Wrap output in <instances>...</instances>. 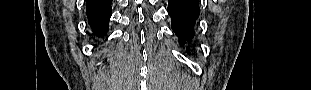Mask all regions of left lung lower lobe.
<instances>
[{
  "mask_svg": "<svg viewBox=\"0 0 311 90\" xmlns=\"http://www.w3.org/2000/svg\"><path fill=\"white\" fill-rule=\"evenodd\" d=\"M168 3L172 29L183 46L194 37V24L199 16V0H168Z\"/></svg>",
  "mask_w": 311,
  "mask_h": 90,
  "instance_id": "1",
  "label": "left lung lower lobe"
}]
</instances>
